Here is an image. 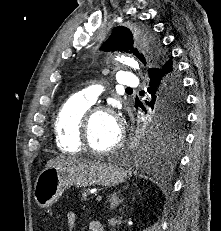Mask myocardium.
<instances>
[{"label":"myocardium","mask_w":221,"mask_h":231,"mask_svg":"<svg viewBox=\"0 0 221 231\" xmlns=\"http://www.w3.org/2000/svg\"><path fill=\"white\" fill-rule=\"evenodd\" d=\"M100 113H106L111 115L115 121L117 122L118 128H119V133H118V138L116 140V142L110 146L109 148L106 149H102V150H98L95 149L91 146L90 144V126H91V122L93 120V118ZM80 134H79V142L82 145V147L89 153L93 154V155H108L111 154L113 152H115L116 150H118L123 142H124V138H125V130L124 127L122 125V123L119 121L118 116L116 115V113L114 112L113 109H111L110 107L107 106H103V105H98V106H93L90 107L85 114L83 115L81 121H80Z\"/></svg>","instance_id":"myocardium-1"}]
</instances>
